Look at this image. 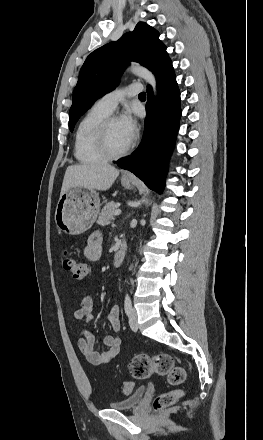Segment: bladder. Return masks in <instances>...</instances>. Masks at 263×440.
<instances>
[{"mask_svg":"<svg viewBox=\"0 0 263 440\" xmlns=\"http://www.w3.org/2000/svg\"><path fill=\"white\" fill-rule=\"evenodd\" d=\"M146 388L141 386L137 388L129 396L120 400L113 401L109 404L110 409L119 411H130L136 409L145 396Z\"/></svg>","mask_w":263,"mask_h":440,"instance_id":"obj_1","label":"bladder"}]
</instances>
